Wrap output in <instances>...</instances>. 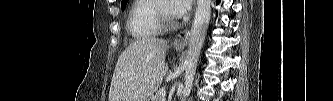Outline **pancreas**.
Masks as SVG:
<instances>
[{
	"label": "pancreas",
	"mask_w": 333,
	"mask_h": 101,
	"mask_svg": "<svg viewBox=\"0 0 333 101\" xmlns=\"http://www.w3.org/2000/svg\"><path fill=\"white\" fill-rule=\"evenodd\" d=\"M154 101H162L160 90L156 92V95L154 96Z\"/></svg>",
	"instance_id": "1"
}]
</instances>
